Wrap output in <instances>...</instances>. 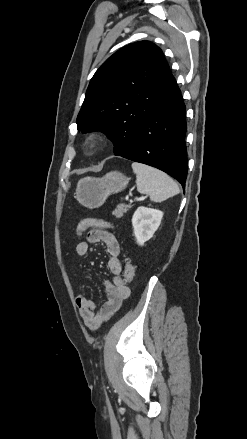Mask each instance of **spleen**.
<instances>
[{
  "label": "spleen",
  "mask_w": 247,
  "mask_h": 439,
  "mask_svg": "<svg viewBox=\"0 0 247 439\" xmlns=\"http://www.w3.org/2000/svg\"><path fill=\"white\" fill-rule=\"evenodd\" d=\"M137 191L148 194L154 202H162L179 193L177 183L166 173L148 165L133 162Z\"/></svg>",
  "instance_id": "3e777b00"
}]
</instances>
